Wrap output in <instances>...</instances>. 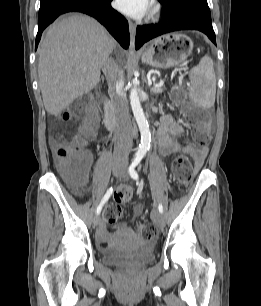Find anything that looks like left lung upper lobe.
Here are the masks:
<instances>
[{
  "label": "left lung upper lobe",
  "instance_id": "left-lung-upper-lobe-1",
  "mask_svg": "<svg viewBox=\"0 0 261 306\" xmlns=\"http://www.w3.org/2000/svg\"><path fill=\"white\" fill-rule=\"evenodd\" d=\"M162 1H166V0H159V2H162Z\"/></svg>",
  "mask_w": 261,
  "mask_h": 306
}]
</instances>
